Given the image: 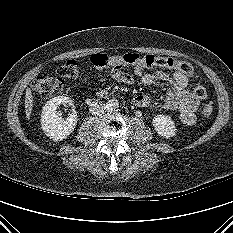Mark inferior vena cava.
Instances as JSON below:
<instances>
[{"label": "inferior vena cava", "instance_id": "602c4592", "mask_svg": "<svg viewBox=\"0 0 233 233\" xmlns=\"http://www.w3.org/2000/svg\"><path fill=\"white\" fill-rule=\"evenodd\" d=\"M107 109V106L106 104H104L103 102H93L91 105H90V113L93 114V115H101L103 114Z\"/></svg>", "mask_w": 233, "mask_h": 233}]
</instances>
